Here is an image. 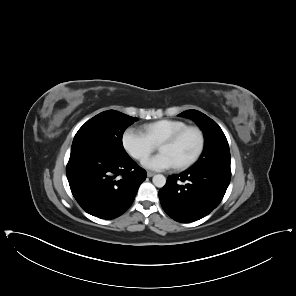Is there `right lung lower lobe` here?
<instances>
[{
    "label": "right lung lower lobe",
    "instance_id": "1",
    "mask_svg": "<svg viewBox=\"0 0 296 296\" xmlns=\"http://www.w3.org/2000/svg\"><path fill=\"white\" fill-rule=\"evenodd\" d=\"M66 173L79 205L102 219L122 215L147 176L129 156L115 158L97 151L71 153Z\"/></svg>",
    "mask_w": 296,
    "mask_h": 296
}]
</instances>
